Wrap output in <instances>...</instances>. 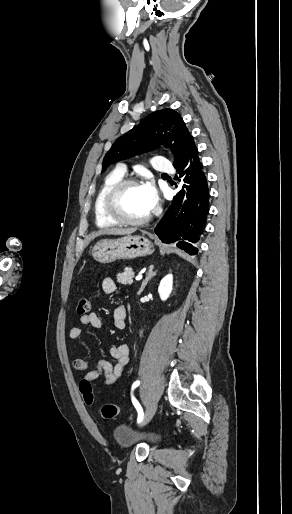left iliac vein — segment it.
I'll list each match as a JSON object with an SVG mask.
<instances>
[{
  "label": "left iliac vein",
  "mask_w": 292,
  "mask_h": 514,
  "mask_svg": "<svg viewBox=\"0 0 292 514\" xmlns=\"http://www.w3.org/2000/svg\"><path fill=\"white\" fill-rule=\"evenodd\" d=\"M157 410V403H150L147 408H146V411H145V415H144V420L142 422V427L145 426L153 417V415L155 414Z\"/></svg>",
  "instance_id": "4c4485c4"
}]
</instances>
